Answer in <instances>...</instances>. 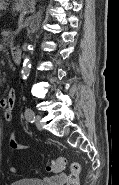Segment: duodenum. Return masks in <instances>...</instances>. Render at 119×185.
<instances>
[{
  "mask_svg": "<svg viewBox=\"0 0 119 185\" xmlns=\"http://www.w3.org/2000/svg\"><path fill=\"white\" fill-rule=\"evenodd\" d=\"M12 58L15 64H20L22 61V51L18 48L13 49Z\"/></svg>",
  "mask_w": 119,
  "mask_h": 185,
  "instance_id": "obj_1",
  "label": "duodenum"
}]
</instances>
